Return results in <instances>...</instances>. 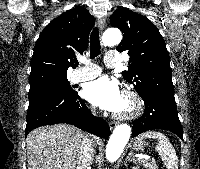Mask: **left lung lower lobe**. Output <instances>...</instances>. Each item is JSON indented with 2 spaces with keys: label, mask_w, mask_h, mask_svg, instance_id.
Listing matches in <instances>:
<instances>
[{
  "label": "left lung lower lobe",
  "mask_w": 200,
  "mask_h": 169,
  "mask_svg": "<svg viewBox=\"0 0 200 169\" xmlns=\"http://www.w3.org/2000/svg\"><path fill=\"white\" fill-rule=\"evenodd\" d=\"M143 100L146 106L144 114L133 122L132 136L149 130L163 129L183 139L174 95L149 92Z\"/></svg>",
  "instance_id": "obj_1"
}]
</instances>
